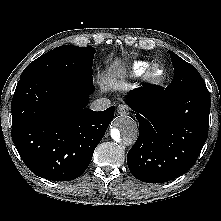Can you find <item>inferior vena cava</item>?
I'll return each instance as SVG.
<instances>
[{
  "mask_svg": "<svg viewBox=\"0 0 221 221\" xmlns=\"http://www.w3.org/2000/svg\"><path fill=\"white\" fill-rule=\"evenodd\" d=\"M110 105L111 101L108 98H99L90 104V109L93 111H103L110 107Z\"/></svg>",
  "mask_w": 221,
  "mask_h": 221,
  "instance_id": "obj_1",
  "label": "inferior vena cava"
}]
</instances>
